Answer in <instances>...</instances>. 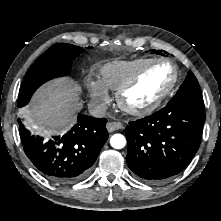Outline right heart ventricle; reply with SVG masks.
Instances as JSON below:
<instances>
[{"instance_id":"1","label":"right heart ventricle","mask_w":221,"mask_h":221,"mask_svg":"<svg viewBox=\"0 0 221 221\" xmlns=\"http://www.w3.org/2000/svg\"><path fill=\"white\" fill-rule=\"evenodd\" d=\"M150 60L151 58H136L107 62L100 69V80L108 89L117 91Z\"/></svg>"}]
</instances>
